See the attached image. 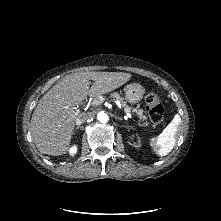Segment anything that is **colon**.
<instances>
[{
  "label": "colon",
  "mask_w": 221,
  "mask_h": 221,
  "mask_svg": "<svg viewBox=\"0 0 221 221\" xmlns=\"http://www.w3.org/2000/svg\"><path fill=\"white\" fill-rule=\"evenodd\" d=\"M145 108L152 124L156 127L160 126L164 116L161 98L156 93H149L145 97Z\"/></svg>",
  "instance_id": "5ec220e1"
}]
</instances>
